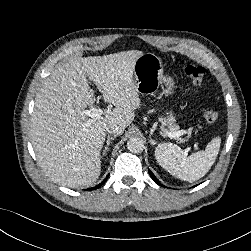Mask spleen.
<instances>
[{"instance_id": "spleen-1", "label": "spleen", "mask_w": 251, "mask_h": 251, "mask_svg": "<svg viewBox=\"0 0 251 251\" xmlns=\"http://www.w3.org/2000/svg\"><path fill=\"white\" fill-rule=\"evenodd\" d=\"M220 145L221 138L215 137L204 151L186 157L179 146L162 143L155 149V158L159 165L171 175L184 181L194 182L205 176L215 163Z\"/></svg>"}]
</instances>
